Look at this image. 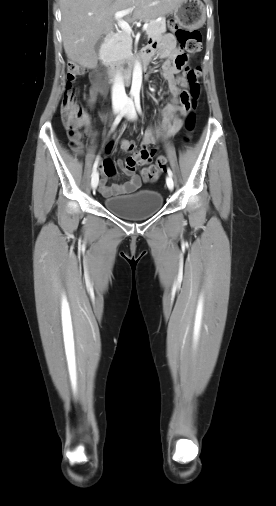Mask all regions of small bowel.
Listing matches in <instances>:
<instances>
[{
  "label": "small bowel",
  "mask_w": 276,
  "mask_h": 506,
  "mask_svg": "<svg viewBox=\"0 0 276 506\" xmlns=\"http://www.w3.org/2000/svg\"><path fill=\"white\" fill-rule=\"evenodd\" d=\"M149 57L148 63L155 56H158L163 60L162 64V76L168 82V91L172 95H177L179 93V88L177 86V75L183 69L184 64L181 62L185 59L186 55L183 50L176 46L175 37L172 35H166L162 42L160 43H152L148 47H146L143 51ZM91 87H90V98L89 103H94L100 94L105 91V84L103 79L98 77V72L94 71L90 74ZM184 109L178 107L172 103L166 104L161 109V124L157 129L150 128L148 129L142 141V150L147 149V146L152 144L155 138L161 134H164L166 137L173 136L181 126V115L183 114ZM85 125L90 124V117L85 113ZM129 146L132 148L135 146L134 142H127ZM109 149L112 148L110 144L108 146ZM154 154L148 156L145 163L150 161L153 158ZM99 170L102 172L103 176L100 180L99 187L101 192L106 196H113L118 194H124L128 192H132L136 190L140 186V178L134 169L128 168L123 164L121 160L117 163H114L111 157H106L101 163L98 165ZM117 167L122 170V172L128 177V180L124 183H114L112 185L107 184L108 177H114L117 173Z\"/></svg>",
  "instance_id": "1"
}]
</instances>
